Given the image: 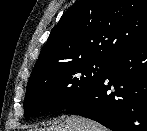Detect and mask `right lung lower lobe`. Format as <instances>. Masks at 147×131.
Wrapping results in <instances>:
<instances>
[{
	"instance_id": "98d812e1",
	"label": "right lung lower lobe",
	"mask_w": 147,
	"mask_h": 131,
	"mask_svg": "<svg viewBox=\"0 0 147 131\" xmlns=\"http://www.w3.org/2000/svg\"><path fill=\"white\" fill-rule=\"evenodd\" d=\"M66 109L113 131H147V39L113 58L104 78Z\"/></svg>"
}]
</instances>
